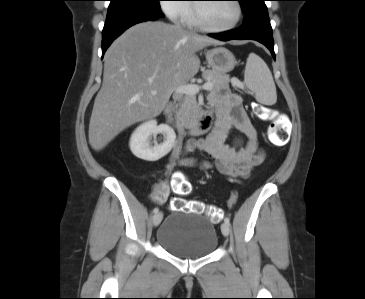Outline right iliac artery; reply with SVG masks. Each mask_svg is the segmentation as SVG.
I'll return each mask as SVG.
<instances>
[{
  "instance_id": "82829eb1",
  "label": "right iliac artery",
  "mask_w": 365,
  "mask_h": 299,
  "mask_svg": "<svg viewBox=\"0 0 365 299\" xmlns=\"http://www.w3.org/2000/svg\"><path fill=\"white\" fill-rule=\"evenodd\" d=\"M158 211H159V209H158V207H155L154 209H153V213H158Z\"/></svg>"
}]
</instances>
